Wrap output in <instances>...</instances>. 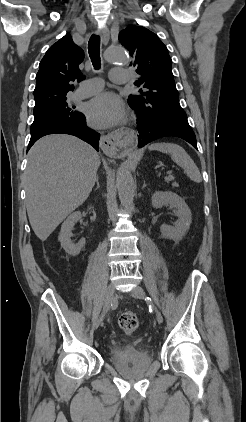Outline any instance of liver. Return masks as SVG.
<instances>
[{
	"mask_svg": "<svg viewBox=\"0 0 246 422\" xmlns=\"http://www.w3.org/2000/svg\"><path fill=\"white\" fill-rule=\"evenodd\" d=\"M27 159L24 173L27 214L34 233L45 241L88 198L100 158L80 139L54 134L39 139Z\"/></svg>",
	"mask_w": 246,
	"mask_h": 422,
	"instance_id": "1",
	"label": "liver"
}]
</instances>
